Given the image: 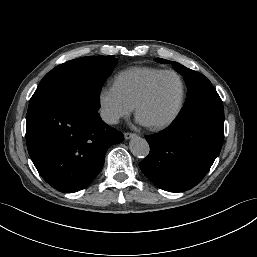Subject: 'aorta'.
Wrapping results in <instances>:
<instances>
[{
    "label": "aorta",
    "mask_w": 257,
    "mask_h": 257,
    "mask_svg": "<svg viewBox=\"0 0 257 257\" xmlns=\"http://www.w3.org/2000/svg\"><path fill=\"white\" fill-rule=\"evenodd\" d=\"M131 153L138 158H145L150 151L148 142L141 137H134L129 144Z\"/></svg>",
    "instance_id": "obj_1"
}]
</instances>
